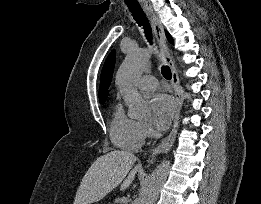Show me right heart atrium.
Listing matches in <instances>:
<instances>
[{"mask_svg": "<svg viewBox=\"0 0 261 204\" xmlns=\"http://www.w3.org/2000/svg\"><path fill=\"white\" fill-rule=\"evenodd\" d=\"M151 128L147 123H141V135L143 140L151 136Z\"/></svg>", "mask_w": 261, "mask_h": 204, "instance_id": "1", "label": "right heart atrium"}]
</instances>
